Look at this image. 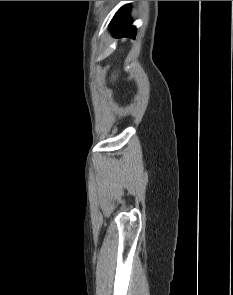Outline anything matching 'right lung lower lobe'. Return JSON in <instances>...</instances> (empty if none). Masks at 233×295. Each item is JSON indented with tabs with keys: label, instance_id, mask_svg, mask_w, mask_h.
<instances>
[{
	"label": "right lung lower lobe",
	"instance_id": "98d812e1",
	"mask_svg": "<svg viewBox=\"0 0 233 295\" xmlns=\"http://www.w3.org/2000/svg\"><path fill=\"white\" fill-rule=\"evenodd\" d=\"M130 5L123 6L114 16L110 29L115 37H131L134 38L136 34V28L132 26V22L128 17Z\"/></svg>",
	"mask_w": 233,
	"mask_h": 295
}]
</instances>
